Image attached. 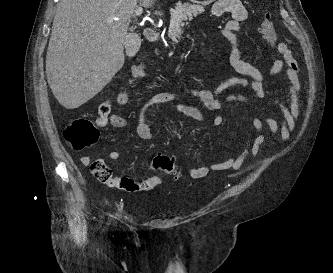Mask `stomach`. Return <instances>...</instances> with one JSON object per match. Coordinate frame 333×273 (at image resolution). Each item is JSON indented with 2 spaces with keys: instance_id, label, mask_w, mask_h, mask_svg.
Instances as JSON below:
<instances>
[{
  "instance_id": "1",
  "label": "stomach",
  "mask_w": 333,
  "mask_h": 273,
  "mask_svg": "<svg viewBox=\"0 0 333 273\" xmlns=\"http://www.w3.org/2000/svg\"><path fill=\"white\" fill-rule=\"evenodd\" d=\"M215 0H191V2L198 4V5H209L210 3L214 2Z\"/></svg>"
}]
</instances>
